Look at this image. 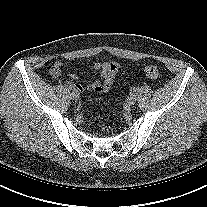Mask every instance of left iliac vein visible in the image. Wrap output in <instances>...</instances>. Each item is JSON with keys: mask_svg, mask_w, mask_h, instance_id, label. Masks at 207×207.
<instances>
[{"mask_svg": "<svg viewBox=\"0 0 207 207\" xmlns=\"http://www.w3.org/2000/svg\"><path fill=\"white\" fill-rule=\"evenodd\" d=\"M126 103H127L128 106H133V105H135V103H136V95L131 94V95L127 98Z\"/></svg>", "mask_w": 207, "mask_h": 207, "instance_id": "obj_1", "label": "left iliac vein"}]
</instances>
